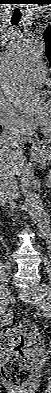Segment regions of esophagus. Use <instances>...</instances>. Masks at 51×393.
<instances>
[{"label": "esophagus", "mask_w": 51, "mask_h": 393, "mask_svg": "<svg viewBox=\"0 0 51 393\" xmlns=\"http://www.w3.org/2000/svg\"><path fill=\"white\" fill-rule=\"evenodd\" d=\"M40 150V144L39 143H34L33 145H32V148H31V153H36V152H38Z\"/></svg>", "instance_id": "obj_1"}]
</instances>
